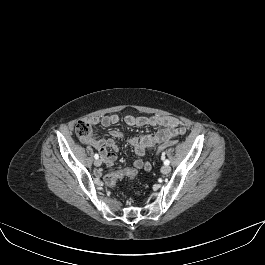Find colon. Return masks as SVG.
<instances>
[{"instance_id": "5ec220e1", "label": "colon", "mask_w": 265, "mask_h": 265, "mask_svg": "<svg viewBox=\"0 0 265 265\" xmlns=\"http://www.w3.org/2000/svg\"><path fill=\"white\" fill-rule=\"evenodd\" d=\"M76 134L77 136L84 140L88 141L94 138L93 130H92V125L90 122L86 119L80 120L77 125H76ZM175 144L174 141H167L164 142L156 148V153L157 154H163L164 150L167 149L168 147H171ZM137 175V171L134 168H124L117 170L115 172H112L108 174L105 177V182L109 187H115L117 182L126 177L129 180H134Z\"/></svg>"}]
</instances>
